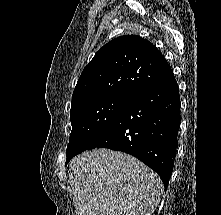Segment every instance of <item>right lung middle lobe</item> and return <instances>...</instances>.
<instances>
[{"label":"right lung middle lobe","mask_w":221,"mask_h":215,"mask_svg":"<svg viewBox=\"0 0 221 215\" xmlns=\"http://www.w3.org/2000/svg\"><path fill=\"white\" fill-rule=\"evenodd\" d=\"M131 96L107 95L71 105L72 131L67 146V162L87 150L112 125Z\"/></svg>","instance_id":"obj_1"}]
</instances>
